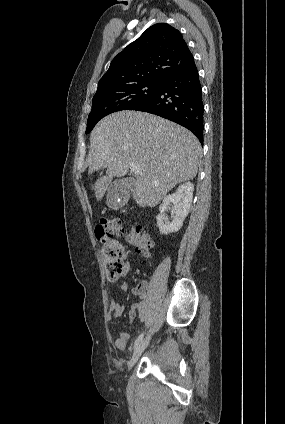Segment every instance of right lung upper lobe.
<instances>
[{
	"instance_id": "right-lung-upper-lobe-1",
	"label": "right lung upper lobe",
	"mask_w": 285,
	"mask_h": 424,
	"mask_svg": "<svg viewBox=\"0 0 285 424\" xmlns=\"http://www.w3.org/2000/svg\"><path fill=\"white\" fill-rule=\"evenodd\" d=\"M193 60L181 33L169 24L158 23L112 60L97 91L139 81H163Z\"/></svg>"
}]
</instances>
